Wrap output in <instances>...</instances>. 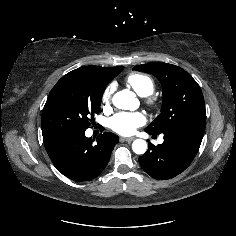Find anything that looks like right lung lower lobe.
<instances>
[{
    "label": "right lung lower lobe",
    "instance_id": "98d812e1",
    "mask_svg": "<svg viewBox=\"0 0 236 236\" xmlns=\"http://www.w3.org/2000/svg\"><path fill=\"white\" fill-rule=\"evenodd\" d=\"M84 132L67 133L44 143L55 167L77 182L96 178L105 169L119 141L117 135L104 133L98 136L94 145Z\"/></svg>",
    "mask_w": 236,
    "mask_h": 236
}]
</instances>
